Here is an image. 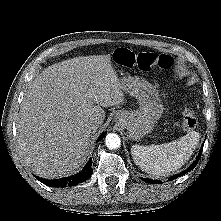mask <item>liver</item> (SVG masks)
<instances>
[{
	"label": "liver",
	"instance_id": "liver-1",
	"mask_svg": "<svg viewBox=\"0 0 221 221\" xmlns=\"http://www.w3.org/2000/svg\"><path fill=\"white\" fill-rule=\"evenodd\" d=\"M123 91L109 55L76 57L46 68L28 87L16 126L25 164L42 178L73 174L89 154V121L102 124L103 108L123 104Z\"/></svg>",
	"mask_w": 221,
	"mask_h": 221
}]
</instances>
